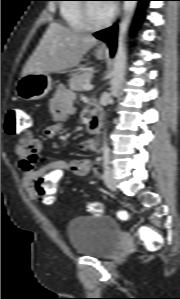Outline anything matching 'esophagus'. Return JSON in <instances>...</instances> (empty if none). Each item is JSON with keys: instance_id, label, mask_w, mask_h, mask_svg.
<instances>
[{"instance_id": "34e87169", "label": "esophagus", "mask_w": 180, "mask_h": 299, "mask_svg": "<svg viewBox=\"0 0 180 299\" xmlns=\"http://www.w3.org/2000/svg\"><path fill=\"white\" fill-rule=\"evenodd\" d=\"M101 48L104 49V50H107V45H106V44H103V45L101 46Z\"/></svg>"}]
</instances>
